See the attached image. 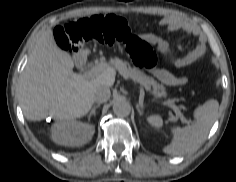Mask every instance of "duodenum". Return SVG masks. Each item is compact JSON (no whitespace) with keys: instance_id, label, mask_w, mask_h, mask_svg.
I'll return each mask as SVG.
<instances>
[{"instance_id":"410a0bca","label":"duodenum","mask_w":236,"mask_h":182,"mask_svg":"<svg viewBox=\"0 0 236 182\" xmlns=\"http://www.w3.org/2000/svg\"><path fill=\"white\" fill-rule=\"evenodd\" d=\"M78 67L81 70H85L87 67V61H85L84 57L82 55H79L76 60Z\"/></svg>"}]
</instances>
